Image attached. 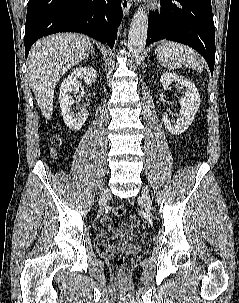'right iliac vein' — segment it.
I'll return each mask as SVG.
<instances>
[{"mask_svg":"<svg viewBox=\"0 0 239 303\" xmlns=\"http://www.w3.org/2000/svg\"><path fill=\"white\" fill-rule=\"evenodd\" d=\"M110 197V192L108 190V188H104L102 193H101V197H100V200H99V205L100 206H103L105 201Z\"/></svg>","mask_w":239,"mask_h":303,"instance_id":"1","label":"right iliac vein"}]
</instances>
